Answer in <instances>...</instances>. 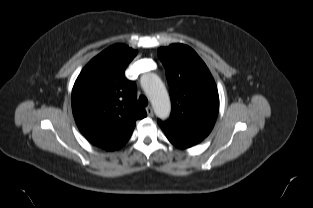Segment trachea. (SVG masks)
Returning a JSON list of instances; mask_svg holds the SVG:
<instances>
[{"label":"trachea","instance_id":"trachea-1","mask_svg":"<svg viewBox=\"0 0 313 208\" xmlns=\"http://www.w3.org/2000/svg\"><path fill=\"white\" fill-rule=\"evenodd\" d=\"M139 103L141 104V106L145 107L148 105V99L144 95H141L139 97Z\"/></svg>","mask_w":313,"mask_h":208}]
</instances>
